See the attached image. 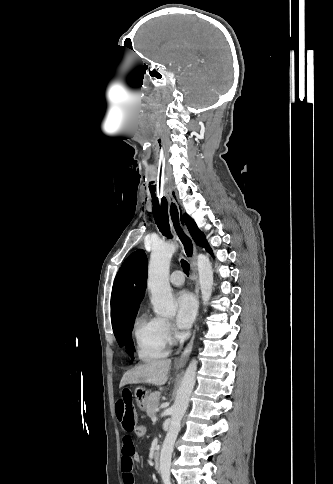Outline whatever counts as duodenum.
Returning <instances> with one entry per match:
<instances>
[{
	"instance_id": "1",
	"label": "duodenum",
	"mask_w": 333,
	"mask_h": 484,
	"mask_svg": "<svg viewBox=\"0 0 333 484\" xmlns=\"http://www.w3.org/2000/svg\"><path fill=\"white\" fill-rule=\"evenodd\" d=\"M160 460H161V451L160 449H156L153 454V464L156 469L160 468Z\"/></svg>"
}]
</instances>
